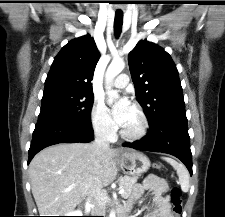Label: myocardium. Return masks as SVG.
I'll return each instance as SVG.
<instances>
[{"label":"myocardium","instance_id":"obj_1","mask_svg":"<svg viewBox=\"0 0 225 217\" xmlns=\"http://www.w3.org/2000/svg\"><path fill=\"white\" fill-rule=\"evenodd\" d=\"M132 109L137 113L139 117V126L133 132L126 131L125 129L122 128L120 134L126 140L137 141L145 137V135L147 134L149 122L144 110L139 104L133 103Z\"/></svg>","mask_w":225,"mask_h":217}]
</instances>
